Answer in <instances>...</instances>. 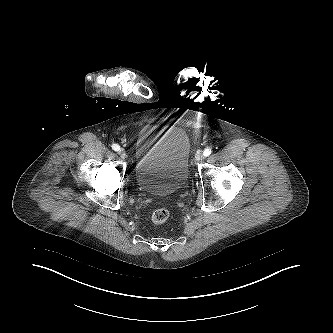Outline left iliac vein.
Instances as JSON below:
<instances>
[{
  "label": "left iliac vein",
  "mask_w": 333,
  "mask_h": 333,
  "mask_svg": "<svg viewBox=\"0 0 333 333\" xmlns=\"http://www.w3.org/2000/svg\"><path fill=\"white\" fill-rule=\"evenodd\" d=\"M204 159V154L201 151H198L195 155V161L200 162Z\"/></svg>",
  "instance_id": "left-iliac-vein-1"
}]
</instances>
